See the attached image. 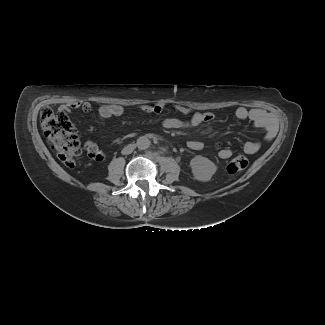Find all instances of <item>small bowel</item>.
<instances>
[{
    "mask_svg": "<svg viewBox=\"0 0 325 325\" xmlns=\"http://www.w3.org/2000/svg\"><path fill=\"white\" fill-rule=\"evenodd\" d=\"M168 107L165 103L156 105H144L142 110L148 114H161ZM174 110L183 115H189V118L179 119L168 117L161 121V125L166 129H190L197 127L203 123H208L213 120L214 116L209 112L192 111L191 109L182 106H173ZM81 109L82 111L89 113L92 110V106L89 102H73L65 106L57 107V114L62 127L67 131L72 132L75 130L76 125L71 120L69 115L70 110ZM123 114V108L119 105H102L98 109V116L100 119L105 120L113 117H119ZM236 118L240 120H250L256 127L264 130V137L270 140L274 137L276 132V126L273 118L261 109H248L244 106H239L235 110ZM187 146L191 150H201L203 143L200 140L192 139L188 141ZM261 147L260 142L248 141L244 143L242 149L246 154H254L259 151ZM85 149L88 156L95 161H102L105 159V153L99 149V147L92 141L87 140L85 142ZM232 156V150L229 148H223L219 151V157L221 159H229Z\"/></svg>",
    "mask_w": 325,
    "mask_h": 325,
    "instance_id": "c3829d8e",
    "label": "small bowel"
}]
</instances>
